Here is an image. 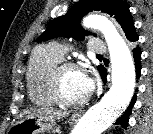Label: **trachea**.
I'll return each mask as SVG.
<instances>
[{
    "label": "trachea",
    "instance_id": "obj_1",
    "mask_svg": "<svg viewBox=\"0 0 153 134\" xmlns=\"http://www.w3.org/2000/svg\"><path fill=\"white\" fill-rule=\"evenodd\" d=\"M98 57H102V55H97Z\"/></svg>",
    "mask_w": 153,
    "mask_h": 134
}]
</instances>
